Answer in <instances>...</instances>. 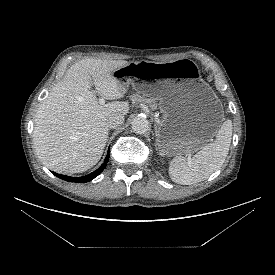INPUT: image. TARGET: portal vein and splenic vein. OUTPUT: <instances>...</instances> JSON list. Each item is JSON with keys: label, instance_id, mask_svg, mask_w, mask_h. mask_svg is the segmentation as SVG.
<instances>
[{"label": "portal vein and splenic vein", "instance_id": "18ae733b", "mask_svg": "<svg viewBox=\"0 0 275 275\" xmlns=\"http://www.w3.org/2000/svg\"><path fill=\"white\" fill-rule=\"evenodd\" d=\"M98 102H99L100 105H104L105 104V100L102 97L99 98ZM190 158H191V153L188 154V159H190Z\"/></svg>", "mask_w": 275, "mask_h": 275}]
</instances>
